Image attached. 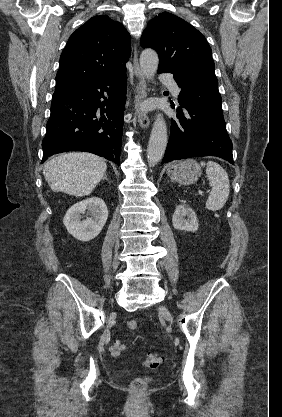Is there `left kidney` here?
<instances>
[{
	"mask_svg": "<svg viewBox=\"0 0 282 417\" xmlns=\"http://www.w3.org/2000/svg\"><path fill=\"white\" fill-rule=\"evenodd\" d=\"M185 217H188V221H186ZM172 223L174 229H178V231H191V233H195L199 229L197 215L186 202L176 206Z\"/></svg>",
	"mask_w": 282,
	"mask_h": 417,
	"instance_id": "obj_1",
	"label": "left kidney"
}]
</instances>
